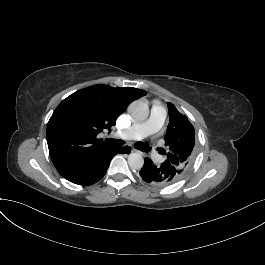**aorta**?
<instances>
[{
    "label": "aorta",
    "mask_w": 265,
    "mask_h": 265,
    "mask_svg": "<svg viewBox=\"0 0 265 265\" xmlns=\"http://www.w3.org/2000/svg\"><path fill=\"white\" fill-rule=\"evenodd\" d=\"M128 111L132 116V118L138 122L146 120L147 117L149 116L148 105L141 101L132 102L128 107ZM128 164L131 169L134 170L141 169L144 165L143 156L138 152L131 153L128 156Z\"/></svg>",
    "instance_id": "obj_1"
}]
</instances>
